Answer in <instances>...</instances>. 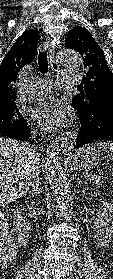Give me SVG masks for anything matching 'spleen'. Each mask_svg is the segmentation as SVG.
<instances>
[{
    "label": "spleen",
    "mask_w": 113,
    "mask_h": 279,
    "mask_svg": "<svg viewBox=\"0 0 113 279\" xmlns=\"http://www.w3.org/2000/svg\"><path fill=\"white\" fill-rule=\"evenodd\" d=\"M100 148L109 150L111 152V154H113V142H99L97 144Z\"/></svg>",
    "instance_id": "1"
}]
</instances>
